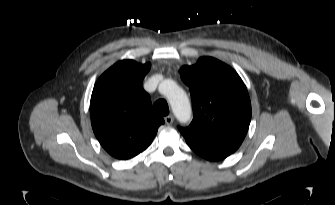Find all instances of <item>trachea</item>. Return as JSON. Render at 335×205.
<instances>
[{
  "label": "trachea",
  "mask_w": 335,
  "mask_h": 205,
  "mask_svg": "<svg viewBox=\"0 0 335 205\" xmlns=\"http://www.w3.org/2000/svg\"><path fill=\"white\" fill-rule=\"evenodd\" d=\"M153 109L155 112L162 116H166L169 114V107L164 99H159L153 104Z\"/></svg>",
  "instance_id": "3493384b"
}]
</instances>
